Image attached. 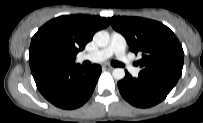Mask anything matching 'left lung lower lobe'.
<instances>
[{
    "label": "left lung lower lobe",
    "instance_id": "obj_1",
    "mask_svg": "<svg viewBox=\"0 0 203 123\" xmlns=\"http://www.w3.org/2000/svg\"><path fill=\"white\" fill-rule=\"evenodd\" d=\"M125 77L118 82L122 97L130 104L140 108H147L160 103L179 78L167 74L140 72L133 78L127 71Z\"/></svg>",
    "mask_w": 203,
    "mask_h": 123
}]
</instances>
